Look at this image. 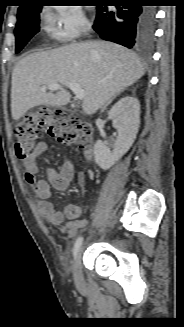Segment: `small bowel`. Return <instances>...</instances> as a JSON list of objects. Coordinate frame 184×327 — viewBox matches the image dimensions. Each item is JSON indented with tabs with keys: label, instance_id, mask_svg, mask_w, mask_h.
<instances>
[{
	"label": "small bowel",
	"instance_id": "small-bowel-1",
	"mask_svg": "<svg viewBox=\"0 0 184 327\" xmlns=\"http://www.w3.org/2000/svg\"><path fill=\"white\" fill-rule=\"evenodd\" d=\"M48 147L47 142H38L32 153L23 161L25 174L24 178L35 191L39 198L38 208L40 213L53 225H64L65 229L75 234L78 230L83 229L87 225L85 219H80L81 209L76 204L66 206L64 212L55 210L51 199V187L57 190H66L75 177V168L71 161H65L59 169L49 167L47 169V179H39L37 177L38 167L36 159L39 155L46 151ZM77 181L79 184L85 182V174L79 172L77 174ZM69 221L65 223V219Z\"/></svg>",
	"mask_w": 184,
	"mask_h": 327
}]
</instances>
